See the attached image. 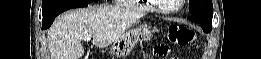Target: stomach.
Wrapping results in <instances>:
<instances>
[{"label":"stomach","instance_id":"obj_1","mask_svg":"<svg viewBox=\"0 0 261 59\" xmlns=\"http://www.w3.org/2000/svg\"><path fill=\"white\" fill-rule=\"evenodd\" d=\"M152 33L148 28L138 27L130 30L114 42L110 54L116 58L125 57L133 48L141 42H147L151 39Z\"/></svg>","mask_w":261,"mask_h":59}]
</instances>
